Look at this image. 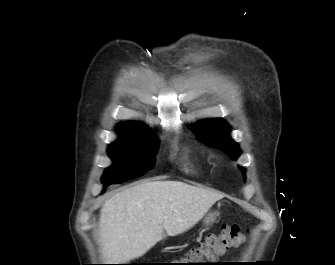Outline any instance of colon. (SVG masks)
<instances>
[{
  "instance_id": "obj_1",
  "label": "colon",
  "mask_w": 335,
  "mask_h": 265,
  "mask_svg": "<svg viewBox=\"0 0 335 265\" xmlns=\"http://www.w3.org/2000/svg\"><path fill=\"white\" fill-rule=\"evenodd\" d=\"M245 240L244 233L236 225H229L219 234L208 236L206 241L198 247L191 249L185 256L184 260L187 265H209L211 262L223 255L227 249L241 245Z\"/></svg>"
}]
</instances>
